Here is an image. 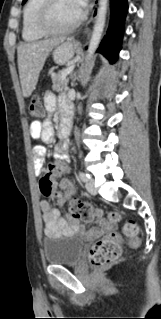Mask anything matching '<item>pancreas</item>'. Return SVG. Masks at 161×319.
Returning <instances> with one entry per match:
<instances>
[{"label":"pancreas","instance_id":"obj_1","mask_svg":"<svg viewBox=\"0 0 161 319\" xmlns=\"http://www.w3.org/2000/svg\"><path fill=\"white\" fill-rule=\"evenodd\" d=\"M63 71L64 70H61L58 73H53L51 75V79H52V83H53V87H52L53 91L60 92L64 88H66L67 83H68V78L62 77Z\"/></svg>","mask_w":161,"mask_h":319}]
</instances>
